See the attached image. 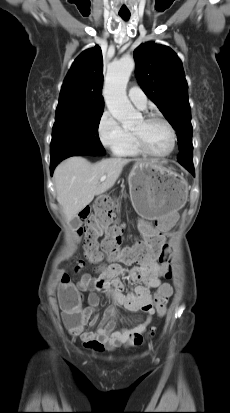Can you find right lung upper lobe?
<instances>
[{"instance_id": "right-lung-upper-lobe-1", "label": "right lung upper lobe", "mask_w": 230, "mask_h": 413, "mask_svg": "<svg viewBox=\"0 0 230 413\" xmlns=\"http://www.w3.org/2000/svg\"><path fill=\"white\" fill-rule=\"evenodd\" d=\"M103 60L99 46L83 51L66 75L56 116L103 113Z\"/></svg>"}]
</instances>
